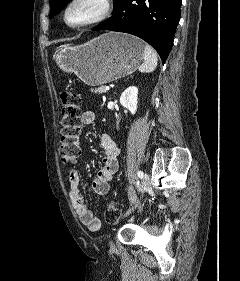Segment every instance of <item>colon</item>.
Listing matches in <instances>:
<instances>
[{
  "label": "colon",
  "mask_w": 240,
  "mask_h": 281,
  "mask_svg": "<svg viewBox=\"0 0 240 281\" xmlns=\"http://www.w3.org/2000/svg\"><path fill=\"white\" fill-rule=\"evenodd\" d=\"M62 119L61 144L59 155L64 163H76L81 150L79 135L81 128V98L79 94L65 90L61 93ZM120 216V209L115 202L106 208L105 219L108 223H115Z\"/></svg>",
  "instance_id": "1"
}]
</instances>
